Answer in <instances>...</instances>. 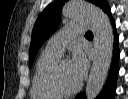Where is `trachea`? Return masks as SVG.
<instances>
[{
  "mask_svg": "<svg viewBox=\"0 0 128 99\" xmlns=\"http://www.w3.org/2000/svg\"><path fill=\"white\" fill-rule=\"evenodd\" d=\"M85 35H93V33L91 31H88Z\"/></svg>",
  "mask_w": 128,
  "mask_h": 99,
  "instance_id": "3493384b",
  "label": "trachea"
}]
</instances>
